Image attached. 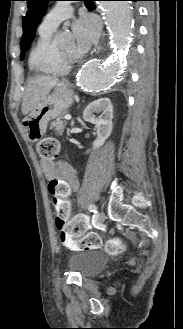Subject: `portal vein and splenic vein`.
Returning a JSON list of instances; mask_svg holds the SVG:
<instances>
[{
  "mask_svg": "<svg viewBox=\"0 0 183 329\" xmlns=\"http://www.w3.org/2000/svg\"><path fill=\"white\" fill-rule=\"evenodd\" d=\"M64 119H65V120H70V119H71V115H65V116H64Z\"/></svg>",
  "mask_w": 183,
  "mask_h": 329,
  "instance_id": "18ae733b",
  "label": "portal vein and splenic vein"
}]
</instances>
